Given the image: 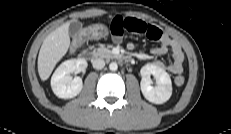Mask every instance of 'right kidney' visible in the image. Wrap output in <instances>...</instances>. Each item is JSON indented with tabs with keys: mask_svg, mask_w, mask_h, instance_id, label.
<instances>
[{
	"mask_svg": "<svg viewBox=\"0 0 231 134\" xmlns=\"http://www.w3.org/2000/svg\"><path fill=\"white\" fill-rule=\"evenodd\" d=\"M87 68L84 59H70L64 61L54 72L51 78V87L54 94L62 99H71L77 96L83 87L82 79H72L70 73H79Z\"/></svg>",
	"mask_w": 231,
	"mask_h": 134,
	"instance_id": "ca27d5eb",
	"label": "right kidney"
}]
</instances>
